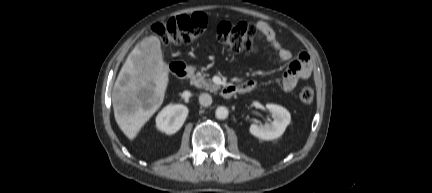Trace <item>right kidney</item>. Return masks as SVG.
Segmentation results:
<instances>
[{"instance_id":"right-kidney-1","label":"right kidney","mask_w":432,"mask_h":193,"mask_svg":"<svg viewBox=\"0 0 432 193\" xmlns=\"http://www.w3.org/2000/svg\"><path fill=\"white\" fill-rule=\"evenodd\" d=\"M188 108L181 104L166 106L156 117V126L167 134L176 133L184 124Z\"/></svg>"}]
</instances>
